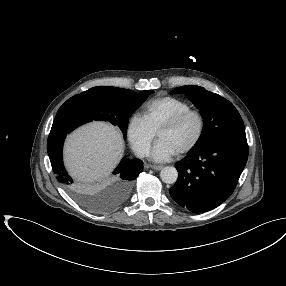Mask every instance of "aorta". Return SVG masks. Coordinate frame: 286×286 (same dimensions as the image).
<instances>
[{
    "mask_svg": "<svg viewBox=\"0 0 286 286\" xmlns=\"http://www.w3.org/2000/svg\"><path fill=\"white\" fill-rule=\"evenodd\" d=\"M160 178L164 183L173 184L177 181L178 172L175 167H164L160 172Z\"/></svg>",
    "mask_w": 286,
    "mask_h": 286,
    "instance_id": "1",
    "label": "aorta"
}]
</instances>
